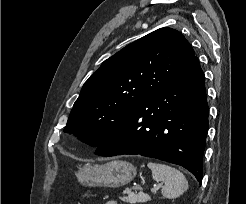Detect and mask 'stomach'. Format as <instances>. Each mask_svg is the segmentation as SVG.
I'll use <instances>...</instances> for the list:
<instances>
[{
  "instance_id": "1",
  "label": "stomach",
  "mask_w": 246,
  "mask_h": 204,
  "mask_svg": "<svg viewBox=\"0 0 246 204\" xmlns=\"http://www.w3.org/2000/svg\"><path fill=\"white\" fill-rule=\"evenodd\" d=\"M136 174L133 164L114 160L102 165L79 166L76 177L85 186L120 187L130 183Z\"/></svg>"
}]
</instances>
